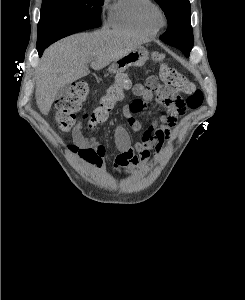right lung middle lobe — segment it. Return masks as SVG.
Listing matches in <instances>:
<instances>
[{
	"mask_svg": "<svg viewBox=\"0 0 245 300\" xmlns=\"http://www.w3.org/2000/svg\"><path fill=\"white\" fill-rule=\"evenodd\" d=\"M104 0H43L38 23L37 47L86 30L101 22Z\"/></svg>",
	"mask_w": 245,
	"mask_h": 300,
	"instance_id": "dd1d6c3e",
	"label": "right lung middle lobe"
}]
</instances>
